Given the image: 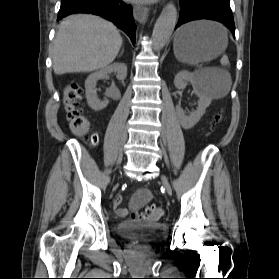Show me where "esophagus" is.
<instances>
[{
  "mask_svg": "<svg viewBox=\"0 0 279 279\" xmlns=\"http://www.w3.org/2000/svg\"><path fill=\"white\" fill-rule=\"evenodd\" d=\"M148 13H149V8L147 6L141 4H136L133 6V16L140 23L145 22Z\"/></svg>",
  "mask_w": 279,
  "mask_h": 279,
  "instance_id": "obj_1",
  "label": "esophagus"
}]
</instances>
